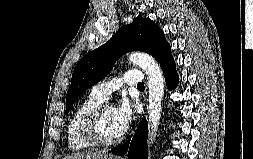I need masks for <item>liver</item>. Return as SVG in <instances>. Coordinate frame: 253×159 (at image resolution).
Segmentation results:
<instances>
[{
    "instance_id": "6515ba94",
    "label": "liver",
    "mask_w": 253,
    "mask_h": 159,
    "mask_svg": "<svg viewBox=\"0 0 253 159\" xmlns=\"http://www.w3.org/2000/svg\"><path fill=\"white\" fill-rule=\"evenodd\" d=\"M113 158L114 156L111 154H104L101 151H89L83 153H75L72 156L67 157L66 159H102V158Z\"/></svg>"
}]
</instances>
